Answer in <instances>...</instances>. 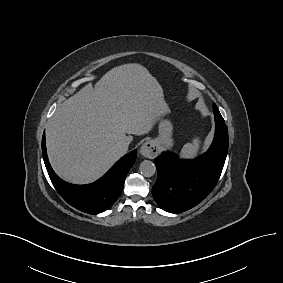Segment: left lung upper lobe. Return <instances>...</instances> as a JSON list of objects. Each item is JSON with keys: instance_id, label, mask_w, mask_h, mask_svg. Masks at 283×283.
I'll return each instance as SVG.
<instances>
[{"instance_id": "left-lung-upper-lobe-1", "label": "left lung upper lobe", "mask_w": 283, "mask_h": 283, "mask_svg": "<svg viewBox=\"0 0 283 283\" xmlns=\"http://www.w3.org/2000/svg\"><path fill=\"white\" fill-rule=\"evenodd\" d=\"M213 110H214V113H217V112L220 113L218 108H217V106L215 104L213 105Z\"/></svg>"}]
</instances>
